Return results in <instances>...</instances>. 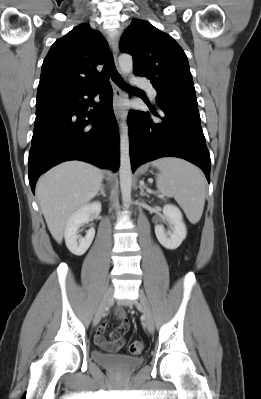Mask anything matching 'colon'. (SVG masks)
I'll list each match as a JSON object with an SVG mask.
<instances>
[{"instance_id": "1", "label": "colon", "mask_w": 261, "mask_h": 399, "mask_svg": "<svg viewBox=\"0 0 261 399\" xmlns=\"http://www.w3.org/2000/svg\"><path fill=\"white\" fill-rule=\"evenodd\" d=\"M128 350L132 355H139L144 350V344L141 341H133L129 344Z\"/></svg>"}]
</instances>
